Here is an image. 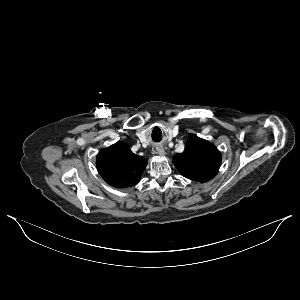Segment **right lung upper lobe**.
<instances>
[{"label":"right lung upper lobe","instance_id":"obj_1","mask_svg":"<svg viewBox=\"0 0 300 300\" xmlns=\"http://www.w3.org/2000/svg\"><path fill=\"white\" fill-rule=\"evenodd\" d=\"M96 166L108 184L127 188L140 181L147 160L134 154L126 143L117 142L99 152Z\"/></svg>","mask_w":300,"mask_h":300}]
</instances>
